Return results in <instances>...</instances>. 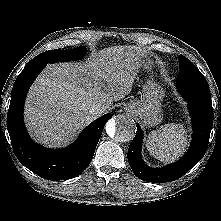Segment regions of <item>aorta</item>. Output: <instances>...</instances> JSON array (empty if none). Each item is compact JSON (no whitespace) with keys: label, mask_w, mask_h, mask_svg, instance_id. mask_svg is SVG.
Instances as JSON below:
<instances>
[{"label":"aorta","mask_w":221,"mask_h":221,"mask_svg":"<svg viewBox=\"0 0 221 221\" xmlns=\"http://www.w3.org/2000/svg\"><path fill=\"white\" fill-rule=\"evenodd\" d=\"M107 135L118 142L130 141L136 133V125L134 121L125 116L117 115L106 123Z\"/></svg>","instance_id":"1"}]
</instances>
